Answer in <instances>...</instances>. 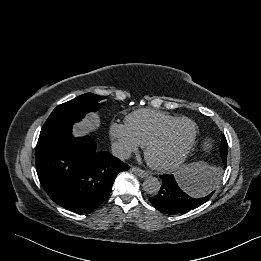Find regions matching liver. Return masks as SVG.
I'll return each mask as SVG.
<instances>
[{
  "instance_id": "liver-1",
  "label": "liver",
  "mask_w": 261,
  "mask_h": 261,
  "mask_svg": "<svg viewBox=\"0 0 261 261\" xmlns=\"http://www.w3.org/2000/svg\"><path fill=\"white\" fill-rule=\"evenodd\" d=\"M100 117L96 113H89V115L83 120V122L73 127V133L75 136H83L89 131L96 130L100 126Z\"/></svg>"
}]
</instances>
